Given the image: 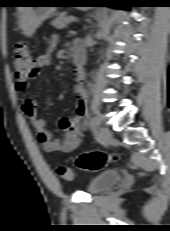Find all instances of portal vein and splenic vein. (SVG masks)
I'll list each match as a JSON object with an SVG mask.
<instances>
[{
    "label": "portal vein and splenic vein",
    "instance_id": "1",
    "mask_svg": "<svg viewBox=\"0 0 170 231\" xmlns=\"http://www.w3.org/2000/svg\"><path fill=\"white\" fill-rule=\"evenodd\" d=\"M74 21H76V19L71 17V18L68 19L67 22H68V23H71V22H74Z\"/></svg>",
    "mask_w": 170,
    "mask_h": 231
}]
</instances>
